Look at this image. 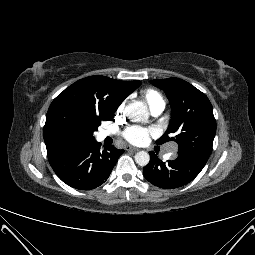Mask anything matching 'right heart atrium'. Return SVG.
<instances>
[{
    "instance_id": "obj_1",
    "label": "right heart atrium",
    "mask_w": 255,
    "mask_h": 255,
    "mask_svg": "<svg viewBox=\"0 0 255 255\" xmlns=\"http://www.w3.org/2000/svg\"><path fill=\"white\" fill-rule=\"evenodd\" d=\"M123 109V104L122 105H120V107H119V111H121Z\"/></svg>"
}]
</instances>
